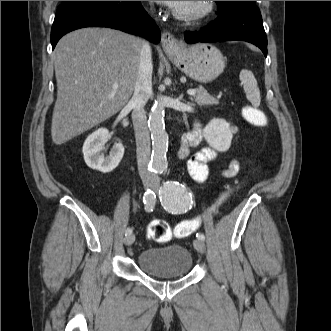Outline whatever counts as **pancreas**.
Returning a JSON list of instances; mask_svg holds the SVG:
<instances>
[{
	"label": "pancreas",
	"instance_id": "cf45deb5",
	"mask_svg": "<svg viewBox=\"0 0 331 331\" xmlns=\"http://www.w3.org/2000/svg\"><path fill=\"white\" fill-rule=\"evenodd\" d=\"M191 101L196 102L199 106L219 104L218 98L211 96L203 87L196 89V95L191 98Z\"/></svg>",
	"mask_w": 331,
	"mask_h": 331
}]
</instances>
